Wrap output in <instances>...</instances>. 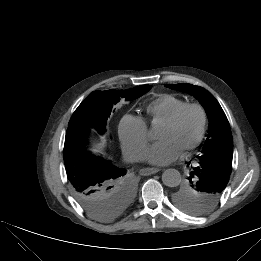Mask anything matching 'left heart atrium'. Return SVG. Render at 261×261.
Wrapping results in <instances>:
<instances>
[{
	"mask_svg": "<svg viewBox=\"0 0 261 261\" xmlns=\"http://www.w3.org/2000/svg\"><path fill=\"white\" fill-rule=\"evenodd\" d=\"M181 149L171 139H164L154 143L145 153V159L153 165H166L176 160Z\"/></svg>",
	"mask_w": 261,
	"mask_h": 261,
	"instance_id": "39dd6f15",
	"label": "left heart atrium"
}]
</instances>
